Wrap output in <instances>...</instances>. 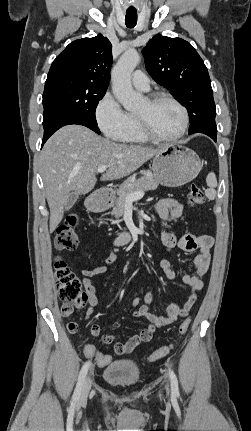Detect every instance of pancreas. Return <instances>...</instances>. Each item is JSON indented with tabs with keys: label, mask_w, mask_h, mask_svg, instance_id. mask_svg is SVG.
<instances>
[{
	"label": "pancreas",
	"mask_w": 251,
	"mask_h": 431,
	"mask_svg": "<svg viewBox=\"0 0 251 431\" xmlns=\"http://www.w3.org/2000/svg\"><path fill=\"white\" fill-rule=\"evenodd\" d=\"M143 177L135 179V176L126 179L119 187V189L114 191L115 201L113 203V210L111 214L119 219L123 216L125 210V198L128 194L139 192L155 190L158 187V182L154 178L150 171H142Z\"/></svg>",
	"instance_id": "pancreas-1"
}]
</instances>
